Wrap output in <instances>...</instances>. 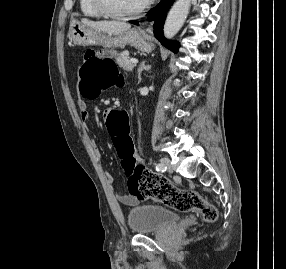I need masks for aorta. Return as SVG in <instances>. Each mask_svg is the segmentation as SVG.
I'll use <instances>...</instances> for the list:
<instances>
[{"label": "aorta", "mask_w": 286, "mask_h": 269, "mask_svg": "<svg viewBox=\"0 0 286 269\" xmlns=\"http://www.w3.org/2000/svg\"><path fill=\"white\" fill-rule=\"evenodd\" d=\"M191 5V0H177L168 13L164 24V35L173 38L183 26Z\"/></svg>", "instance_id": "1"}]
</instances>
